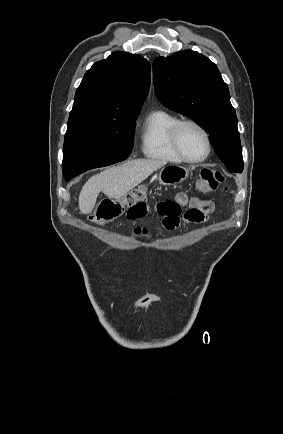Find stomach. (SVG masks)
Segmentation results:
<instances>
[{"mask_svg": "<svg viewBox=\"0 0 283 434\" xmlns=\"http://www.w3.org/2000/svg\"><path fill=\"white\" fill-rule=\"evenodd\" d=\"M189 175L186 167L170 165L160 170L158 180L162 185H175L183 182Z\"/></svg>", "mask_w": 283, "mask_h": 434, "instance_id": "1", "label": "stomach"}]
</instances>
